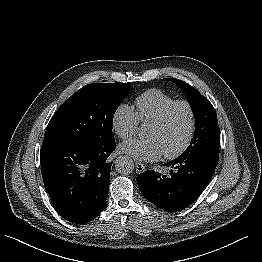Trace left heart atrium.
Returning <instances> with one entry per match:
<instances>
[{"label": "left heart atrium", "instance_id": "1", "mask_svg": "<svg viewBox=\"0 0 262 262\" xmlns=\"http://www.w3.org/2000/svg\"><path fill=\"white\" fill-rule=\"evenodd\" d=\"M119 149L140 161H156L163 155L160 144L154 138L132 139L122 143Z\"/></svg>", "mask_w": 262, "mask_h": 262}]
</instances>
